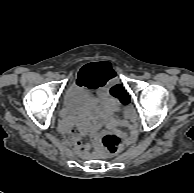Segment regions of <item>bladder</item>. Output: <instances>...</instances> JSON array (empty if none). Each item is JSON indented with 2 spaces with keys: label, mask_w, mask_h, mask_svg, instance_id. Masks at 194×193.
I'll list each match as a JSON object with an SVG mask.
<instances>
[{
  "label": "bladder",
  "mask_w": 194,
  "mask_h": 193,
  "mask_svg": "<svg viewBox=\"0 0 194 193\" xmlns=\"http://www.w3.org/2000/svg\"><path fill=\"white\" fill-rule=\"evenodd\" d=\"M87 97L85 86L77 85L71 89L70 93L67 96V101L73 104L82 102Z\"/></svg>",
  "instance_id": "obj_1"
}]
</instances>
